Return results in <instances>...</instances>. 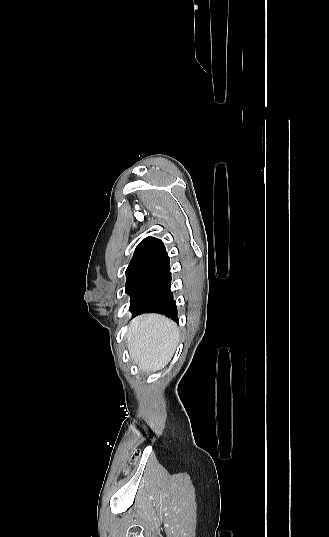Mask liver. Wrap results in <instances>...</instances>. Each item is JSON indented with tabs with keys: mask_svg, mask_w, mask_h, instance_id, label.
I'll return each instance as SVG.
<instances>
[{
	"mask_svg": "<svg viewBox=\"0 0 329 537\" xmlns=\"http://www.w3.org/2000/svg\"><path fill=\"white\" fill-rule=\"evenodd\" d=\"M132 359L140 370L156 371L172 358L179 341L176 324L159 314L134 318L126 334Z\"/></svg>",
	"mask_w": 329,
	"mask_h": 537,
	"instance_id": "obj_1",
	"label": "liver"
}]
</instances>
